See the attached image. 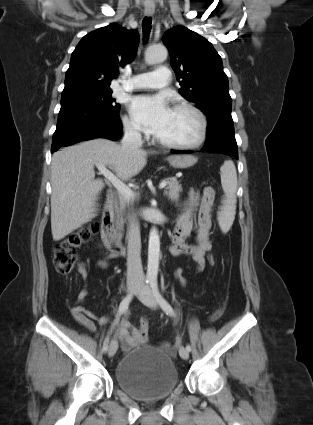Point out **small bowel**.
Listing matches in <instances>:
<instances>
[{"mask_svg": "<svg viewBox=\"0 0 313 425\" xmlns=\"http://www.w3.org/2000/svg\"><path fill=\"white\" fill-rule=\"evenodd\" d=\"M214 196V190L211 187H205L201 193L190 190L187 203L176 220V228L172 235L171 254L173 256H190L196 262L200 272L205 268V254L212 248L208 234L211 228V209ZM197 209L198 213L196 214ZM193 232L196 233L197 244L188 245L185 239ZM98 265L100 268L106 269L110 263L108 260H100ZM87 295V289H82L77 296L78 302L82 303ZM71 314L77 323L90 332L95 331V323L103 324L108 321L107 317L96 315L80 305L73 306ZM116 337L126 349L141 343L138 330L127 320L120 322Z\"/></svg>", "mask_w": 313, "mask_h": 425, "instance_id": "obj_1", "label": "small bowel"}]
</instances>
